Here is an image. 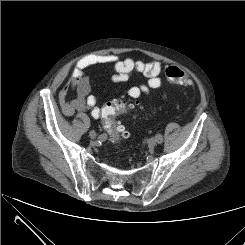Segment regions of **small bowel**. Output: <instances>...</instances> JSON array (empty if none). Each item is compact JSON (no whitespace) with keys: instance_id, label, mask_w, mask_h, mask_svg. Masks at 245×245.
Returning a JSON list of instances; mask_svg holds the SVG:
<instances>
[{"instance_id":"c3829d8e","label":"small bowel","mask_w":245,"mask_h":245,"mask_svg":"<svg viewBox=\"0 0 245 245\" xmlns=\"http://www.w3.org/2000/svg\"><path fill=\"white\" fill-rule=\"evenodd\" d=\"M96 65H111L114 71L112 80L116 83L127 81L133 72L146 76L148 78L146 84L129 88L128 95L133 99H137L142 95L148 96L152 89L160 88L163 83L160 76L163 65L159 61L146 62L130 58L120 59L114 54L87 56L75 64L68 82L59 91L58 101L65 115L69 116L76 111L90 110L95 119L101 117V109L97 106L96 97L90 94V78L85 74V69ZM70 89L76 92V97L72 100L67 98Z\"/></svg>"}]
</instances>
